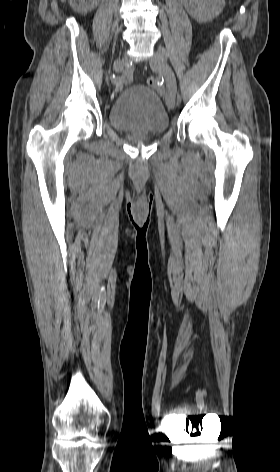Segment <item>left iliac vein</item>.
Returning a JSON list of instances; mask_svg holds the SVG:
<instances>
[{"label":"left iliac vein","instance_id":"1","mask_svg":"<svg viewBox=\"0 0 280 472\" xmlns=\"http://www.w3.org/2000/svg\"><path fill=\"white\" fill-rule=\"evenodd\" d=\"M163 53L162 48L159 49V52H155L150 59V65L164 76L167 84L166 104L169 109H173L176 103L177 82L173 70L163 57Z\"/></svg>","mask_w":280,"mask_h":472}]
</instances>
